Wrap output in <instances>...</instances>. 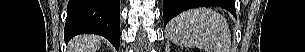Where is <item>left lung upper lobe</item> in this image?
<instances>
[{"mask_svg": "<svg viewBox=\"0 0 305 52\" xmlns=\"http://www.w3.org/2000/svg\"><path fill=\"white\" fill-rule=\"evenodd\" d=\"M210 2L211 6H220L223 8H227L231 6L232 0H205Z\"/></svg>", "mask_w": 305, "mask_h": 52, "instance_id": "5c2ea615", "label": "left lung upper lobe"}]
</instances>
